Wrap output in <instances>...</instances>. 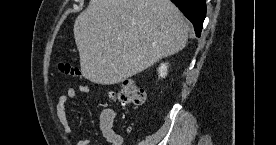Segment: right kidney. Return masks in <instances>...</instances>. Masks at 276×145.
Listing matches in <instances>:
<instances>
[{
    "label": "right kidney",
    "mask_w": 276,
    "mask_h": 145,
    "mask_svg": "<svg viewBox=\"0 0 276 145\" xmlns=\"http://www.w3.org/2000/svg\"><path fill=\"white\" fill-rule=\"evenodd\" d=\"M167 68H168L167 64H165V63L161 64V66L158 69L160 77L163 78V77H165L167 75Z\"/></svg>",
    "instance_id": "ca27d5eb"
}]
</instances>
